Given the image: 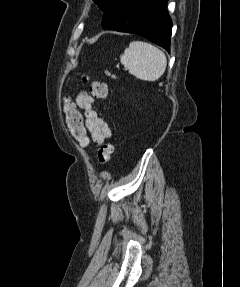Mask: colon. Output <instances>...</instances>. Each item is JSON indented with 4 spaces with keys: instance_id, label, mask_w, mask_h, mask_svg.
Wrapping results in <instances>:
<instances>
[{
    "instance_id": "obj_1",
    "label": "colon",
    "mask_w": 240,
    "mask_h": 287,
    "mask_svg": "<svg viewBox=\"0 0 240 287\" xmlns=\"http://www.w3.org/2000/svg\"><path fill=\"white\" fill-rule=\"evenodd\" d=\"M83 81L89 83L90 92L94 98L105 100L109 96L108 87L104 82L94 81L89 75L83 76ZM64 112L66 115V123L71 135L80 145L86 147L89 143L87 131L85 129L82 114L75 108L74 103L70 99L64 101ZM114 152L112 143H105L98 150V160L101 165H106Z\"/></svg>"
}]
</instances>
